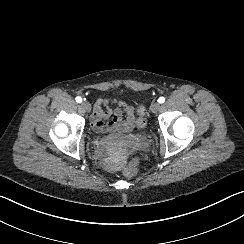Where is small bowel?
<instances>
[{"label": "small bowel", "mask_w": 244, "mask_h": 244, "mask_svg": "<svg viewBox=\"0 0 244 244\" xmlns=\"http://www.w3.org/2000/svg\"><path fill=\"white\" fill-rule=\"evenodd\" d=\"M93 125L104 132H127L136 125L134 109L123 101L98 99L93 109Z\"/></svg>", "instance_id": "obj_1"}]
</instances>
